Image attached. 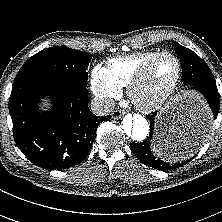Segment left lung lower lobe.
I'll return each instance as SVG.
<instances>
[{
  "label": "left lung lower lobe",
  "mask_w": 222,
  "mask_h": 222,
  "mask_svg": "<svg viewBox=\"0 0 222 222\" xmlns=\"http://www.w3.org/2000/svg\"><path fill=\"white\" fill-rule=\"evenodd\" d=\"M182 72L185 79V85L189 86L191 89L200 92L208 102L213 115L209 113L208 117L205 119H197L188 125L184 130L174 139V149L176 152L181 153H192L199 149L207 140L208 133L211 128L212 119H216L219 112V93L216 86H210L198 83L194 81L196 75L199 74L198 67L195 64H190L187 61L181 62ZM157 112H152L147 117L150 120V134L149 137L140 143H132L130 145L133 154L145 165L160 169L162 171L175 169L186 164L190 160L183 161L182 163H176L170 165L161 160L164 166H157V159L151 153L150 144L154 134V123Z\"/></svg>",
  "instance_id": "1"
}]
</instances>
